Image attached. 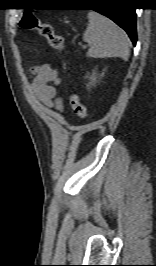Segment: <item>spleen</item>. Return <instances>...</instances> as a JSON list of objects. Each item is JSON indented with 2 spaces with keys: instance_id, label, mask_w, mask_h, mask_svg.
I'll list each match as a JSON object with an SVG mask.
<instances>
[{
  "instance_id": "spleen-1",
  "label": "spleen",
  "mask_w": 156,
  "mask_h": 266,
  "mask_svg": "<svg viewBox=\"0 0 156 266\" xmlns=\"http://www.w3.org/2000/svg\"><path fill=\"white\" fill-rule=\"evenodd\" d=\"M89 24L83 34V40L90 46L87 56L90 58L118 57L127 60L129 56V38L125 31L107 17L91 11Z\"/></svg>"
}]
</instances>
